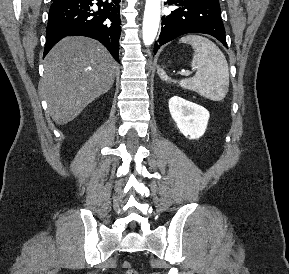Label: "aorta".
Masks as SVG:
<instances>
[{"mask_svg":"<svg viewBox=\"0 0 289 274\" xmlns=\"http://www.w3.org/2000/svg\"><path fill=\"white\" fill-rule=\"evenodd\" d=\"M161 12V0H146L143 18V42L151 45L158 32Z\"/></svg>","mask_w":289,"mask_h":274,"instance_id":"1","label":"aorta"}]
</instances>
